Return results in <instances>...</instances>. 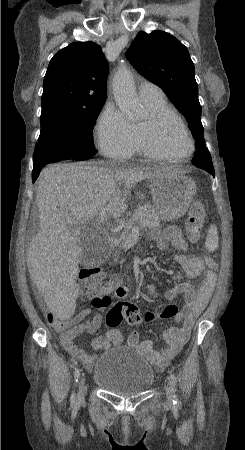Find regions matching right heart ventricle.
<instances>
[{
    "label": "right heart ventricle",
    "instance_id": "e07e8e85",
    "mask_svg": "<svg viewBox=\"0 0 245 450\" xmlns=\"http://www.w3.org/2000/svg\"><path fill=\"white\" fill-rule=\"evenodd\" d=\"M145 106L147 107L150 115L156 114L160 112H170L174 114L178 119L181 120L178 113L167 103L166 99L156 100V101H149V102H143ZM182 121V120H181ZM142 125L134 126L136 138H137V145H136V151L139 153H144L141 137H140V128Z\"/></svg>",
    "mask_w": 245,
    "mask_h": 450
}]
</instances>
